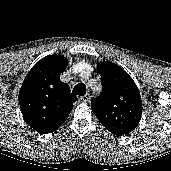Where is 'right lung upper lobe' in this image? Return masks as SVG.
I'll list each match as a JSON object with an SVG mask.
<instances>
[{
    "label": "right lung upper lobe",
    "instance_id": "right-lung-upper-lobe-1",
    "mask_svg": "<svg viewBox=\"0 0 171 171\" xmlns=\"http://www.w3.org/2000/svg\"><path fill=\"white\" fill-rule=\"evenodd\" d=\"M68 60L62 55L41 59L29 71L19 91V104L26 123L40 134L52 133L68 118L76 96L61 82Z\"/></svg>",
    "mask_w": 171,
    "mask_h": 171
}]
</instances>
